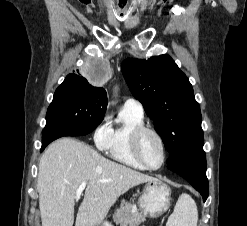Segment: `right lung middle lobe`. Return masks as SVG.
Returning <instances> with one entry per match:
<instances>
[{"label":"right lung middle lobe","instance_id":"right-lung-middle-lobe-1","mask_svg":"<svg viewBox=\"0 0 247 226\" xmlns=\"http://www.w3.org/2000/svg\"><path fill=\"white\" fill-rule=\"evenodd\" d=\"M106 107L96 95L62 83L48 107L44 132L88 134L102 122Z\"/></svg>","mask_w":247,"mask_h":226}]
</instances>
